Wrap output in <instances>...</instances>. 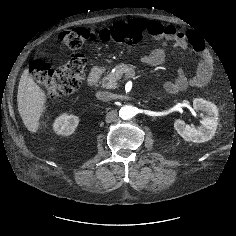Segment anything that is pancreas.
Returning <instances> with one entry per match:
<instances>
[{"mask_svg": "<svg viewBox=\"0 0 236 236\" xmlns=\"http://www.w3.org/2000/svg\"><path fill=\"white\" fill-rule=\"evenodd\" d=\"M136 67L131 64H120L116 66L114 72L109 73L106 77L103 78V86L107 89H115L118 87V81L124 75L127 78L133 77L135 72L134 69Z\"/></svg>", "mask_w": 236, "mask_h": 236, "instance_id": "cf45deb5", "label": "pancreas"}]
</instances>
